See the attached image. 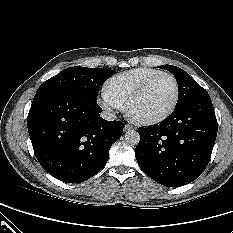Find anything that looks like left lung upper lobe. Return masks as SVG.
I'll return each mask as SVG.
<instances>
[{
  "mask_svg": "<svg viewBox=\"0 0 233 233\" xmlns=\"http://www.w3.org/2000/svg\"><path fill=\"white\" fill-rule=\"evenodd\" d=\"M159 68L170 71L176 78L179 89V98L176 106L182 105L196 96L207 94V91L182 69L172 65H163L159 66Z\"/></svg>",
  "mask_w": 233,
  "mask_h": 233,
  "instance_id": "1",
  "label": "left lung upper lobe"
}]
</instances>
